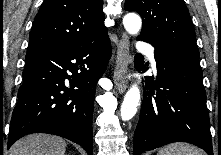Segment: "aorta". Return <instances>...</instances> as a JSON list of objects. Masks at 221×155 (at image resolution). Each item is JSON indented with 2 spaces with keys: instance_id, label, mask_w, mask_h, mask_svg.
Returning a JSON list of instances; mask_svg holds the SVG:
<instances>
[{
  "instance_id": "obj_1",
  "label": "aorta",
  "mask_w": 221,
  "mask_h": 155,
  "mask_svg": "<svg viewBox=\"0 0 221 155\" xmlns=\"http://www.w3.org/2000/svg\"><path fill=\"white\" fill-rule=\"evenodd\" d=\"M123 25L129 34H137L142 26L141 18L136 13H128L123 18ZM140 103V90L136 84H133L124 96L121 105V118L123 121H128L133 118L137 112V107Z\"/></svg>"
}]
</instances>
